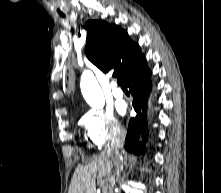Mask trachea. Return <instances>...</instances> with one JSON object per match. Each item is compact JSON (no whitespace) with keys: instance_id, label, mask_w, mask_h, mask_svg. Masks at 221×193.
Instances as JSON below:
<instances>
[{"instance_id":"trachea-1","label":"trachea","mask_w":221,"mask_h":193,"mask_svg":"<svg viewBox=\"0 0 221 193\" xmlns=\"http://www.w3.org/2000/svg\"><path fill=\"white\" fill-rule=\"evenodd\" d=\"M117 83H118V85L121 86L122 88H125V87H126L120 77L117 78Z\"/></svg>"}]
</instances>
